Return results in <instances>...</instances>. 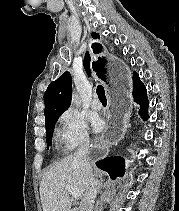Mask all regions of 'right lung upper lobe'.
Here are the masks:
<instances>
[{
    "instance_id": "right-lung-upper-lobe-1",
    "label": "right lung upper lobe",
    "mask_w": 179,
    "mask_h": 211,
    "mask_svg": "<svg viewBox=\"0 0 179 211\" xmlns=\"http://www.w3.org/2000/svg\"><path fill=\"white\" fill-rule=\"evenodd\" d=\"M92 38H99V34L93 32ZM84 67L87 73L90 74V55L88 52H86L84 58ZM92 68L101 80H108V64L104 57H98V60L92 63ZM71 87L72 77L68 71L63 73L57 80L49 84L46 92L44 93L45 122L55 116H60L68 109L71 103Z\"/></svg>"
}]
</instances>
